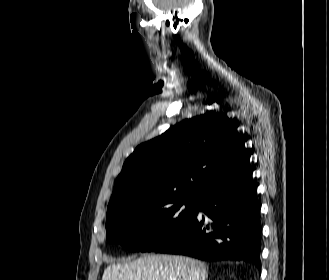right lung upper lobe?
Instances as JSON below:
<instances>
[{"label":"right lung upper lobe","instance_id":"right-lung-upper-lobe-1","mask_svg":"<svg viewBox=\"0 0 329 280\" xmlns=\"http://www.w3.org/2000/svg\"><path fill=\"white\" fill-rule=\"evenodd\" d=\"M246 139L225 114L208 111L140 144L117 177L108 208L147 196L199 198L249 161Z\"/></svg>","mask_w":329,"mask_h":280}]
</instances>
